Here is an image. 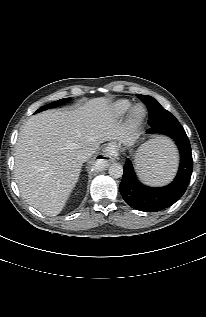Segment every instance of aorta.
<instances>
[{
	"mask_svg": "<svg viewBox=\"0 0 206 317\" xmlns=\"http://www.w3.org/2000/svg\"><path fill=\"white\" fill-rule=\"evenodd\" d=\"M109 175L113 178H120L123 175V167L119 163H113L109 167Z\"/></svg>",
	"mask_w": 206,
	"mask_h": 317,
	"instance_id": "1",
	"label": "aorta"
}]
</instances>
